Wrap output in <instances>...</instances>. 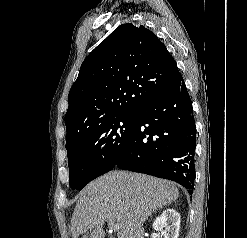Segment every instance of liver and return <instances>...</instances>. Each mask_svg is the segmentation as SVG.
Here are the masks:
<instances>
[{"instance_id": "obj_1", "label": "liver", "mask_w": 247, "mask_h": 238, "mask_svg": "<svg viewBox=\"0 0 247 238\" xmlns=\"http://www.w3.org/2000/svg\"><path fill=\"white\" fill-rule=\"evenodd\" d=\"M179 197L170 181L148 175L111 171L90 182L79 193L71 218V235L105 238V221H117L118 238H143L142 225L157 209Z\"/></svg>"}]
</instances>
